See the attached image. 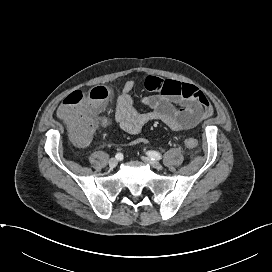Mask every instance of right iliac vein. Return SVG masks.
Returning <instances> with one entry per match:
<instances>
[{
	"instance_id": "63e3f726",
	"label": "right iliac vein",
	"mask_w": 272,
	"mask_h": 272,
	"mask_svg": "<svg viewBox=\"0 0 272 272\" xmlns=\"http://www.w3.org/2000/svg\"><path fill=\"white\" fill-rule=\"evenodd\" d=\"M117 164H118V160H117L116 158H111V159L109 160V166H110L111 168H115V167L117 166Z\"/></svg>"
}]
</instances>
